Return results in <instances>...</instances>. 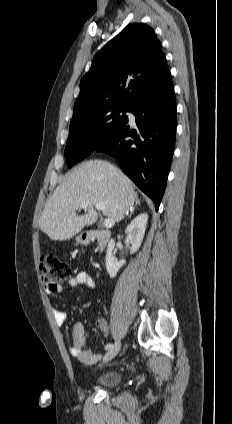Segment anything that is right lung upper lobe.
I'll return each instance as SVG.
<instances>
[{
	"instance_id": "1",
	"label": "right lung upper lobe",
	"mask_w": 232,
	"mask_h": 424,
	"mask_svg": "<svg viewBox=\"0 0 232 424\" xmlns=\"http://www.w3.org/2000/svg\"><path fill=\"white\" fill-rule=\"evenodd\" d=\"M168 71L153 29L143 23L129 24L94 57L89 72L81 79L73 117L94 107L132 106Z\"/></svg>"
}]
</instances>
